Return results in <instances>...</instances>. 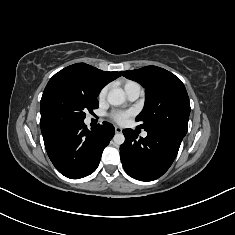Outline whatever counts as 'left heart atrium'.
Listing matches in <instances>:
<instances>
[{
    "label": "left heart atrium",
    "mask_w": 235,
    "mask_h": 235,
    "mask_svg": "<svg viewBox=\"0 0 235 235\" xmlns=\"http://www.w3.org/2000/svg\"><path fill=\"white\" fill-rule=\"evenodd\" d=\"M129 116L130 113L126 111H114L111 113V118L120 124L125 123Z\"/></svg>",
    "instance_id": "obj_1"
}]
</instances>
